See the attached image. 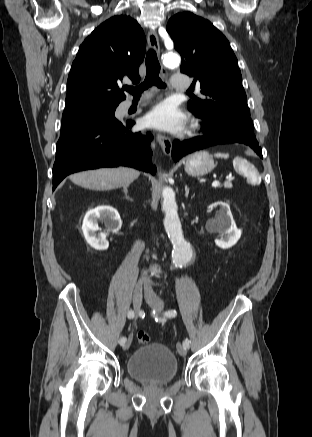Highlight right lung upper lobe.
I'll return each instance as SVG.
<instances>
[{
  "instance_id": "right-lung-upper-lobe-1",
  "label": "right lung upper lobe",
  "mask_w": 312,
  "mask_h": 437,
  "mask_svg": "<svg viewBox=\"0 0 312 437\" xmlns=\"http://www.w3.org/2000/svg\"><path fill=\"white\" fill-rule=\"evenodd\" d=\"M146 39L128 16H114L89 35L79 48L68 80L66 109L80 106H117L126 96L123 78L138 82Z\"/></svg>"
}]
</instances>
